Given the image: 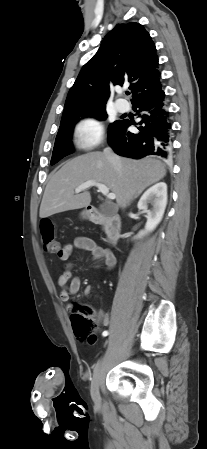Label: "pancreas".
<instances>
[{
  "instance_id": "1",
  "label": "pancreas",
  "mask_w": 207,
  "mask_h": 449,
  "mask_svg": "<svg viewBox=\"0 0 207 449\" xmlns=\"http://www.w3.org/2000/svg\"><path fill=\"white\" fill-rule=\"evenodd\" d=\"M104 229L107 230V226L106 225H104Z\"/></svg>"
}]
</instances>
